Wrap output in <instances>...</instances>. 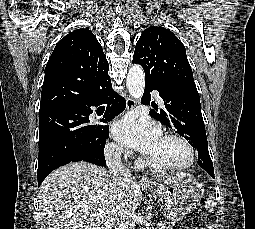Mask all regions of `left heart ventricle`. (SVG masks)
<instances>
[{
    "mask_svg": "<svg viewBox=\"0 0 255 229\" xmlns=\"http://www.w3.org/2000/svg\"><path fill=\"white\" fill-rule=\"evenodd\" d=\"M146 157L154 161L176 165L188 159V151L179 142L162 136L155 148L146 154Z\"/></svg>",
    "mask_w": 255,
    "mask_h": 229,
    "instance_id": "b2bd125f",
    "label": "left heart ventricle"
}]
</instances>
